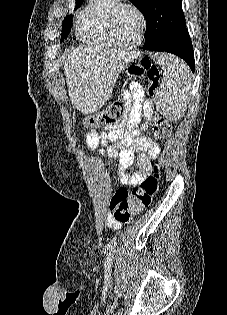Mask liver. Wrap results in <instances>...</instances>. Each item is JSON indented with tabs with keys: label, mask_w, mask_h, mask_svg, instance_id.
<instances>
[{
	"label": "liver",
	"mask_w": 227,
	"mask_h": 315,
	"mask_svg": "<svg viewBox=\"0 0 227 315\" xmlns=\"http://www.w3.org/2000/svg\"><path fill=\"white\" fill-rule=\"evenodd\" d=\"M135 58L100 46L73 49L64 62L69 97L84 115L101 109L110 99L119 74Z\"/></svg>",
	"instance_id": "1"
}]
</instances>
